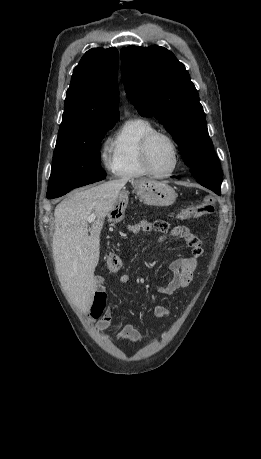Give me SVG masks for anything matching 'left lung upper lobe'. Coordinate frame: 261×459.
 I'll use <instances>...</instances> for the list:
<instances>
[{"label":"left lung upper lobe","instance_id":"1","mask_svg":"<svg viewBox=\"0 0 261 459\" xmlns=\"http://www.w3.org/2000/svg\"><path fill=\"white\" fill-rule=\"evenodd\" d=\"M126 94L142 116H155L179 145L196 180L222 181L198 92L185 66L164 47L121 49Z\"/></svg>","mask_w":261,"mask_h":459}]
</instances>
